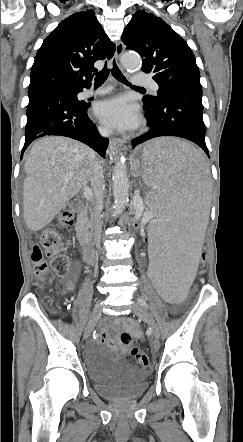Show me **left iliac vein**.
<instances>
[{"mask_svg":"<svg viewBox=\"0 0 243 442\" xmlns=\"http://www.w3.org/2000/svg\"><path fill=\"white\" fill-rule=\"evenodd\" d=\"M134 313L142 319L150 328V331L152 333V336L154 338L153 340V347L157 349L159 347V337H160V330L159 327L153 318L152 314L140 303L134 305L133 307Z\"/></svg>","mask_w":243,"mask_h":442,"instance_id":"left-iliac-vein-1","label":"left iliac vein"}]
</instances>
